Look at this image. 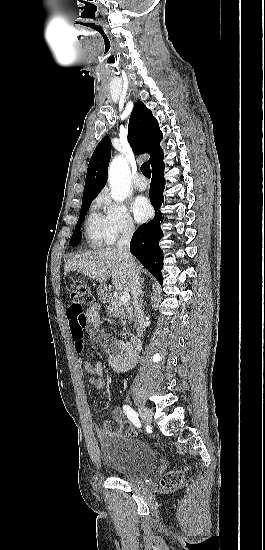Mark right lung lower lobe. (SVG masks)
I'll list each match as a JSON object with an SVG mask.
<instances>
[{"label":"right lung lower lobe","mask_w":265,"mask_h":550,"mask_svg":"<svg viewBox=\"0 0 265 550\" xmlns=\"http://www.w3.org/2000/svg\"><path fill=\"white\" fill-rule=\"evenodd\" d=\"M163 159L152 167V180L150 186V201L155 209L154 218L147 224L141 225L133 234L130 242L131 253L141 264L162 283L163 252L158 242L163 236L160 228L162 214L159 211L163 202L165 187Z\"/></svg>","instance_id":"1"}]
</instances>
